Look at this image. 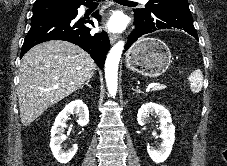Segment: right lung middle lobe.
<instances>
[{"label": "right lung middle lobe", "mask_w": 227, "mask_h": 166, "mask_svg": "<svg viewBox=\"0 0 227 166\" xmlns=\"http://www.w3.org/2000/svg\"><path fill=\"white\" fill-rule=\"evenodd\" d=\"M74 5L63 4H46V5H34L32 21L41 19L50 15L57 14H70L74 11Z\"/></svg>", "instance_id": "obj_1"}]
</instances>
